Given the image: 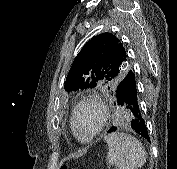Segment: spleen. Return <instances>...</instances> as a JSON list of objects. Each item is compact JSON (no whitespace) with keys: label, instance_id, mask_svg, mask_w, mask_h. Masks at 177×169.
Segmentation results:
<instances>
[{"label":"spleen","instance_id":"1","mask_svg":"<svg viewBox=\"0 0 177 169\" xmlns=\"http://www.w3.org/2000/svg\"><path fill=\"white\" fill-rule=\"evenodd\" d=\"M104 141L108 145L107 163L116 169H138L145 164V151L134 136L114 132L105 136Z\"/></svg>","mask_w":177,"mask_h":169}]
</instances>
